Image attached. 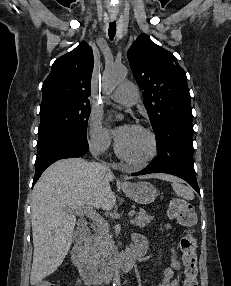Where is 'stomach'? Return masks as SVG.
Masks as SVG:
<instances>
[{"mask_svg":"<svg viewBox=\"0 0 231 286\" xmlns=\"http://www.w3.org/2000/svg\"><path fill=\"white\" fill-rule=\"evenodd\" d=\"M121 188L131 200L142 205L152 203L158 196L154 185L146 181L128 183Z\"/></svg>","mask_w":231,"mask_h":286,"instance_id":"stomach-1","label":"stomach"}]
</instances>
